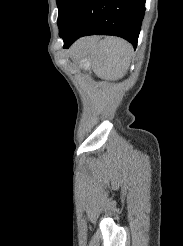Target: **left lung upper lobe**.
<instances>
[{"label": "left lung upper lobe", "instance_id": "obj_1", "mask_svg": "<svg viewBox=\"0 0 183 246\" xmlns=\"http://www.w3.org/2000/svg\"><path fill=\"white\" fill-rule=\"evenodd\" d=\"M56 1H57V7L59 10L57 24H58V27L60 28L74 0H56Z\"/></svg>", "mask_w": 183, "mask_h": 246}]
</instances>
